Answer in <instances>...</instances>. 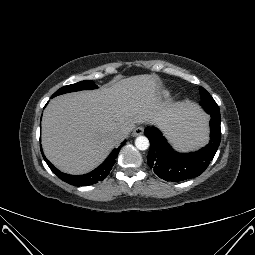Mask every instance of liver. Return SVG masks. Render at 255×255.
<instances>
[{"instance_id": "liver-1", "label": "liver", "mask_w": 255, "mask_h": 255, "mask_svg": "<svg viewBox=\"0 0 255 255\" xmlns=\"http://www.w3.org/2000/svg\"><path fill=\"white\" fill-rule=\"evenodd\" d=\"M157 90L158 78L144 74L54 98L42 119L46 157L63 172L84 174L119 143L114 138L117 130L129 133L135 124L149 123L176 139L203 117L196 104L163 101Z\"/></svg>"}]
</instances>
